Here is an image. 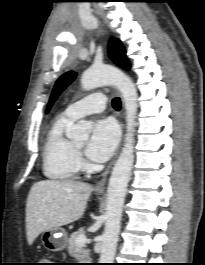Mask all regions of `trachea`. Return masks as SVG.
<instances>
[{"label": "trachea", "mask_w": 205, "mask_h": 265, "mask_svg": "<svg viewBox=\"0 0 205 265\" xmlns=\"http://www.w3.org/2000/svg\"><path fill=\"white\" fill-rule=\"evenodd\" d=\"M112 106L114 109L119 110L121 108L120 98L116 97L112 100Z\"/></svg>", "instance_id": "3493384b"}]
</instances>
